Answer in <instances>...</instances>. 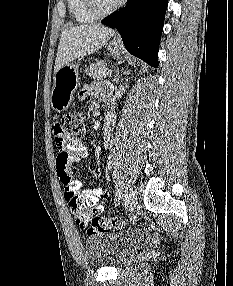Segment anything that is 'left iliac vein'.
I'll return each instance as SVG.
<instances>
[{"label": "left iliac vein", "mask_w": 233, "mask_h": 286, "mask_svg": "<svg viewBox=\"0 0 233 286\" xmlns=\"http://www.w3.org/2000/svg\"><path fill=\"white\" fill-rule=\"evenodd\" d=\"M137 205V194L133 188H130L125 195V206L130 212H133Z\"/></svg>", "instance_id": "obj_1"}]
</instances>
